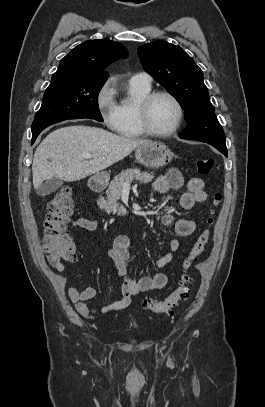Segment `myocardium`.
Segmentation results:
<instances>
[{"mask_svg":"<svg viewBox=\"0 0 265 407\" xmlns=\"http://www.w3.org/2000/svg\"><path fill=\"white\" fill-rule=\"evenodd\" d=\"M159 96H166L173 101L177 108V119L174 126L165 132H158L151 128L149 123V111L153 101ZM184 118V107L181 101L173 93L167 90H157L147 94L137 106V121L141 131L150 137L167 138L175 134L180 128Z\"/></svg>","mask_w":265,"mask_h":407,"instance_id":"obj_1","label":"myocardium"}]
</instances>
